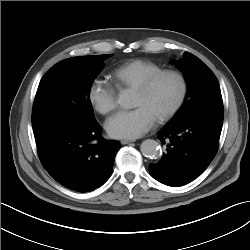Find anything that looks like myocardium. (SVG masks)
Here are the masks:
<instances>
[{
  "label": "myocardium",
  "instance_id": "myocardium-1",
  "mask_svg": "<svg viewBox=\"0 0 250 250\" xmlns=\"http://www.w3.org/2000/svg\"><path fill=\"white\" fill-rule=\"evenodd\" d=\"M165 76L173 77L178 81L179 92L174 103L170 106V108L167 109L165 112H163L156 119L157 122L159 123H163L169 120L170 118H172L183 105L186 95H187V90H188L187 80L185 76L181 72L176 71V70H169V69L160 70L148 76L135 88V91H137L138 93L143 94V95L147 94L149 90L152 88V86L155 84V82Z\"/></svg>",
  "mask_w": 250,
  "mask_h": 250
}]
</instances>
